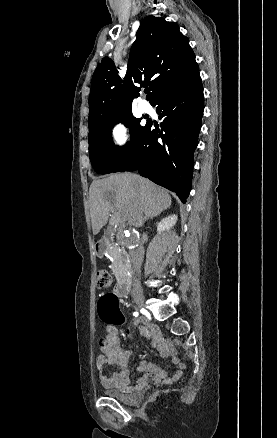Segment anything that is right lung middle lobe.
<instances>
[{"label": "right lung middle lobe", "mask_w": 277, "mask_h": 438, "mask_svg": "<svg viewBox=\"0 0 277 438\" xmlns=\"http://www.w3.org/2000/svg\"><path fill=\"white\" fill-rule=\"evenodd\" d=\"M141 118L132 114L119 116L107 122L89 126V157L94 170L108 174L129 156L139 141L146 126L140 125ZM122 122L130 129V143L123 147L114 145L111 131L116 123Z\"/></svg>", "instance_id": "obj_1"}]
</instances>
